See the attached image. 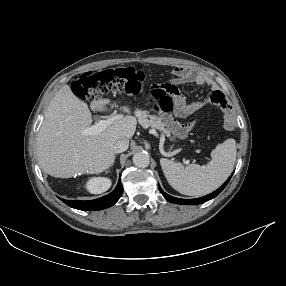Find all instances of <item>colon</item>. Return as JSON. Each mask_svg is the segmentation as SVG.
<instances>
[{
  "label": "colon",
  "mask_w": 286,
  "mask_h": 286,
  "mask_svg": "<svg viewBox=\"0 0 286 286\" xmlns=\"http://www.w3.org/2000/svg\"><path fill=\"white\" fill-rule=\"evenodd\" d=\"M144 74L133 67H109L98 72H86L74 82V93L82 100H94L112 93L137 94L142 89ZM176 89L170 84H154L147 95L163 128L178 139L190 138L196 122L189 124L176 119L172 112Z\"/></svg>",
  "instance_id": "obj_1"
}]
</instances>
